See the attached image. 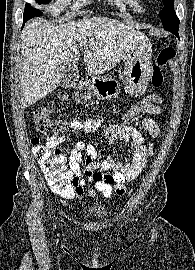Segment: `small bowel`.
<instances>
[{
	"label": "small bowel",
	"mask_w": 195,
	"mask_h": 270,
	"mask_svg": "<svg viewBox=\"0 0 195 270\" xmlns=\"http://www.w3.org/2000/svg\"><path fill=\"white\" fill-rule=\"evenodd\" d=\"M162 110L160 106L155 107L147 114L159 115ZM141 126L149 133L150 139L145 138L135 127L110 123L103 129V136L108 144L112 145L116 141L132 142L130 155L122 160L116 161L108 156L102 162H96V148L83 140L75 143L68 157V173L72 178L71 190L62 195L66 199L80 197L84 193L86 183L92 185L88 188L89 196H95V192L102 194V200L112 197L113 193L122 196L125 193V181L135 180L145 168L148 160L153 154L152 140L157 138L159 127L155 120L148 116L140 119ZM71 126L85 134H92L101 126V119L98 117H87L84 121L78 118L71 120ZM64 136L58 135L48 138V145L57 146L62 144ZM85 153V169L81 168V162Z\"/></svg>",
	"instance_id": "obj_1"
}]
</instances>
